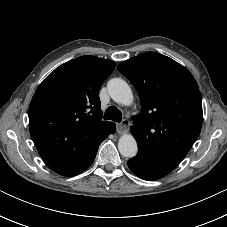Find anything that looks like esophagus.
I'll list each match as a JSON object with an SVG mask.
<instances>
[{
	"mask_svg": "<svg viewBox=\"0 0 227 227\" xmlns=\"http://www.w3.org/2000/svg\"><path fill=\"white\" fill-rule=\"evenodd\" d=\"M130 122L127 119L122 120L121 123L117 124V131L119 134H124L128 131Z\"/></svg>",
	"mask_w": 227,
	"mask_h": 227,
	"instance_id": "esophagus-1",
	"label": "esophagus"
}]
</instances>
